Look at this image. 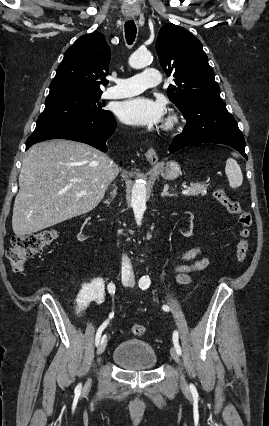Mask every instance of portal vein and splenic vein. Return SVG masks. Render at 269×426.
Instances as JSON below:
<instances>
[{
	"label": "portal vein and splenic vein",
	"mask_w": 269,
	"mask_h": 426,
	"mask_svg": "<svg viewBox=\"0 0 269 426\" xmlns=\"http://www.w3.org/2000/svg\"><path fill=\"white\" fill-rule=\"evenodd\" d=\"M190 192V190L189 189H186V190H183L182 191V193L183 194H188ZM83 195H86V191H82L80 194H79V196H83Z\"/></svg>",
	"instance_id": "18ae733b"
}]
</instances>
